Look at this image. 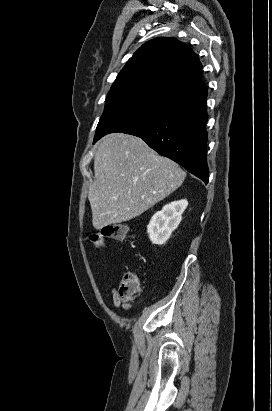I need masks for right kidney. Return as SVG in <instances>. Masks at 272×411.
Wrapping results in <instances>:
<instances>
[{
  "label": "right kidney",
  "instance_id": "ca27d5eb",
  "mask_svg": "<svg viewBox=\"0 0 272 411\" xmlns=\"http://www.w3.org/2000/svg\"><path fill=\"white\" fill-rule=\"evenodd\" d=\"M187 206L188 201L185 199L174 201L165 205L162 210L152 216L147 226V232L153 244L163 245L166 243L180 224L182 214Z\"/></svg>",
  "mask_w": 272,
  "mask_h": 411
}]
</instances>
